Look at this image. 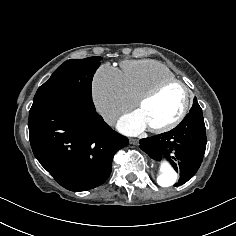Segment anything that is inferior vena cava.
<instances>
[{"instance_id":"602c4592","label":"inferior vena cava","mask_w":236,"mask_h":236,"mask_svg":"<svg viewBox=\"0 0 236 236\" xmlns=\"http://www.w3.org/2000/svg\"><path fill=\"white\" fill-rule=\"evenodd\" d=\"M97 112L110 124L115 121L117 115L114 109L110 107H99Z\"/></svg>"}]
</instances>
